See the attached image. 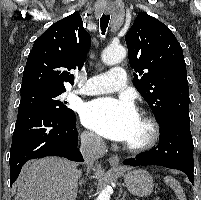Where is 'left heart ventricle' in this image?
<instances>
[{"instance_id":"1","label":"left heart ventricle","mask_w":201,"mask_h":200,"mask_svg":"<svg viewBox=\"0 0 201 200\" xmlns=\"http://www.w3.org/2000/svg\"><path fill=\"white\" fill-rule=\"evenodd\" d=\"M149 134V129L147 124L142 118L138 116L136 123L134 125L132 134L130 138L126 141L128 144H139L146 140Z\"/></svg>"}]
</instances>
